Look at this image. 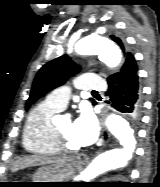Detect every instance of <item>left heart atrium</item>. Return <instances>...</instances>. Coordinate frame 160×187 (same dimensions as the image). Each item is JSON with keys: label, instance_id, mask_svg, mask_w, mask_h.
<instances>
[{"label": "left heart atrium", "instance_id": "left-heart-atrium-1", "mask_svg": "<svg viewBox=\"0 0 160 187\" xmlns=\"http://www.w3.org/2000/svg\"><path fill=\"white\" fill-rule=\"evenodd\" d=\"M75 141L80 146H87L95 142L98 136V126L94 116L89 111H82L72 123Z\"/></svg>", "mask_w": 160, "mask_h": 187}]
</instances>
